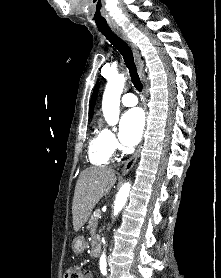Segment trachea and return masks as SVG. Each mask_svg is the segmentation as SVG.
Returning a JSON list of instances; mask_svg holds the SVG:
<instances>
[{"mask_svg": "<svg viewBox=\"0 0 221 278\" xmlns=\"http://www.w3.org/2000/svg\"><path fill=\"white\" fill-rule=\"evenodd\" d=\"M107 40L121 53L127 68L129 69L130 77L134 87L138 91H142V83L140 81L137 69L134 63V57L129 45L119 38L112 30L100 31Z\"/></svg>", "mask_w": 221, "mask_h": 278, "instance_id": "trachea-1", "label": "trachea"}]
</instances>
